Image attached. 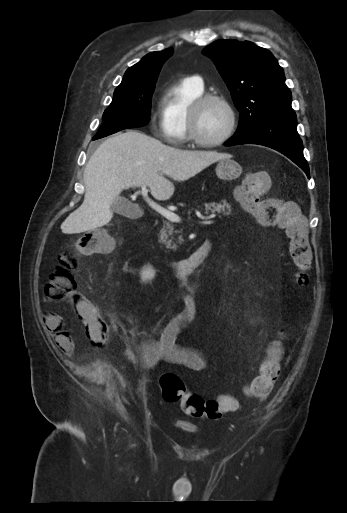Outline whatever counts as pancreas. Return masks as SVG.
<instances>
[{"mask_svg":"<svg viewBox=\"0 0 347 513\" xmlns=\"http://www.w3.org/2000/svg\"><path fill=\"white\" fill-rule=\"evenodd\" d=\"M205 210L206 213L210 211L212 214H215L216 212L218 214H222L223 216H229L231 212V206L226 201H223L221 203H206L205 204ZM181 233L179 230H175L174 225L168 222H165L163 225V228L160 231V238L161 242L166 245L167 248H176V245H172V239L174 234ZM169 237L171 239H169ZM181 239V236L179 237Z\"/></svg>","mask_w":347,"mask_h":513,"instance_id":"cf45deb5","label":"pancreas"}]
</instances>
